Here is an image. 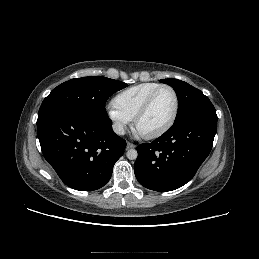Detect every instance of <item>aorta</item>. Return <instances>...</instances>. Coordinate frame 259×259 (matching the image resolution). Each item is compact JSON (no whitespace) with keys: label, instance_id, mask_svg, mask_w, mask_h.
<instances>
[{"label":"aorta","instance_id":"762f6f07","mask_svg":"<svg viewBox=\"0 0 259 259\" xmlns=\"http://www.w3.org/2000/svg\"><path fill=\"white\" fill-rule=\"evenodd\" d=\"M126 156L130 160H135L138 156V153L135 149H130L127 151Z\"/></svg>","mask_w":259,"mask_h":259}]
</instances>
